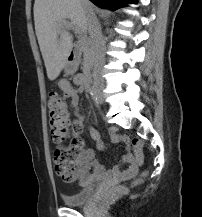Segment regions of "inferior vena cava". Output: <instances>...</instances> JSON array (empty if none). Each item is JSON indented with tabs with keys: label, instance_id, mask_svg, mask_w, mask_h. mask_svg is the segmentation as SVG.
Wrapping results in <instances>:
<instances>
[{
	"label": "inferior vena cava",
	"instance_id": "inferior-vena-cava-1",
	"mask_svg": "<svg viewBox=\"0 0 202 217\" xmlns=\"http://www.w3.org/2000/svg\"><path fill=\"white\" fill-rule=\"evenodd\" d=\"M82 4L88 11V33L90 36L91 46L94 51V69L93 78L95 86L103 85L104 80L102 70L105 63V47L102 36L101 26L93 11L88 7V0H81Z\"/></svg>",
	"mask_w": 202,
	"mask_h": 217
}]
</instances>
